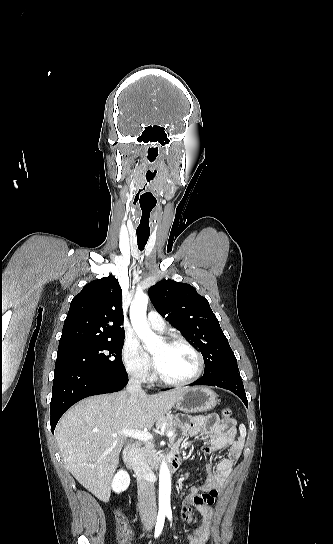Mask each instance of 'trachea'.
Masks as SVG:
<instances>
[{"mask_svg": "<svg viewBox=\"0 0 333 544\" xmlns=\"http://www.w3.org/2000/svg\"><path fill=\"white\" fill-rule=\"evenodd\" d=\"M150 233H138L137 232V243L140 251L144 250V247L149 239Z\"/></svg>", "mask_w": 333, "mask_h": 544, "instance_id": "1", "label": "trachea"}]
</instances>
